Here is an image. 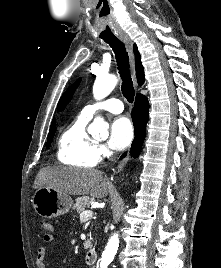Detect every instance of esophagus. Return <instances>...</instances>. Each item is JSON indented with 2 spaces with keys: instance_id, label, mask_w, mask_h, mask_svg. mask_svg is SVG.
<instances>
[{
  "instance_id": "1",
  "label": "esophagus",
  "mask_w": 221,
  "mask_h": 268,
  "mask_svg": "<svg viewBox=\"0 0 221 268\" xmlns=\"http://www.w3.org/2000/svg\"><path fill=\"white\" fill-rule=\"evenodd\" d=\"M120 40L125 44L126 49L129 53V58H130V66H131V71H132V75H133V80L135 85H137L136 83V77H135V59H134V54H133V50H132V42L130 40V38L128 37V35L126 34H120L119 35ZM129 160V156H126L118 165V171H121L123 169V167L126 165L127 161Z\"/></svg>"
}]
</instances>
